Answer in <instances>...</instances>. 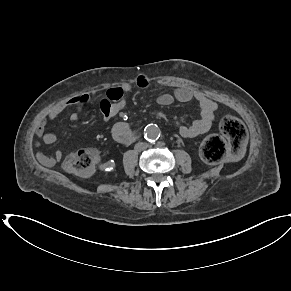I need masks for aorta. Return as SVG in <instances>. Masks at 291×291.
<instances>
[{
  "label": "aorta",
  "instance_id": "1",
  "mask_svg": "<svg viewBox=\"0 0 291 291\" xmlns=\"http://www.w3.org/2000/svg\"><path fill=\"white\" fill-rule=\"evenodd\" d=\"M144 137L152 142L160 137V129L156 124H148L144 129Z\"/></svg>",
  "mask_w": 291,
  "mask_h": 291
}]
</instances>
